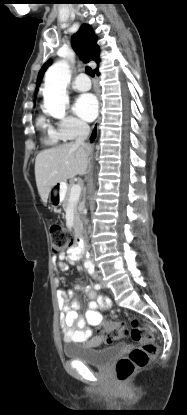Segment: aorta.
I'll list each match as a JSON object with an SVG mask.
<instances>
[{
    "mask_svg": "<svg viewBox=\"0 0 187 415\" xmlns=\"http://www.w3.org/2000/svg\"><path fill=\"white\" fill-rule=\"evenodd\" d=\"M70 78L69 64L65 60L54 63L45 74L44 107L52 117L63 119L66 115V108L69 104L66 87Z\"/></svg>",
    "mask_w": 187,
    "mask_h": 415,
    "instance_id": "obj_1",
    "label": "aorta"
}]
</instances>
